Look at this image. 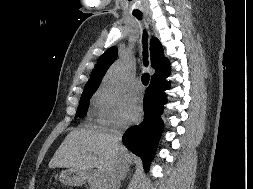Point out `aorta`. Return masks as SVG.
Listing matches in <instances>:
<instances>
[{
  "mask_svg": "<svg viewBox=\"0 0 253 189\" xmlns=\"http://www.w3.org/2000/svg\"><path fill=\"white\" fill-rule=\"evenodd\" d=\"M127 65L124 62H120L114 65L108 72L105 80V87L111 92H118L123 85V79L126 74Z\"/></svg>",
  "mask_w": 253,
  "mask_h": 189,
  "instance_id": "762f6f07",
  "label": "aorta"
}]
</instances>
